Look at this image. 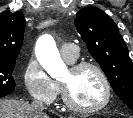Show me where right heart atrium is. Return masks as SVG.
<instances>
[{
	"label": "right heart atrium",
	"instance_id": "obj_1",
	"mask_svg": "<svg viewBox=\"0 0 133 118\" xmlns=\"http://www.w3.org/2000/svg\"><path fill=\"white\" fill-rule=\"evenodd\" d=\"M24 83L30 96L43 103L53 102L60 88L52 80L35 58H30L24 69Z\"/></svg>",
	"mask_w": 133,
	"mask_h": 118
}]
</instances>
